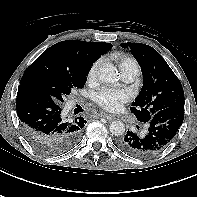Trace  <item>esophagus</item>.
Listing matches in <instances>:
<instances>
[{
    "label": "esophagus",
    "instance_id": "34e87169",
    "mask_svg": "<svg viewBox=\"0 0 197 197\" xmlns=\"http://www.w3.org/2000/svg\"><path fill=\"white\" fill-rule=\"evenodd\" d=\"M100 116L107 119L108 121H113L116 119L115 115L108 114V113H101Z\"/></svg>",
    "mask_w": 197,
    "mask_h": 197
}]
</instances>
